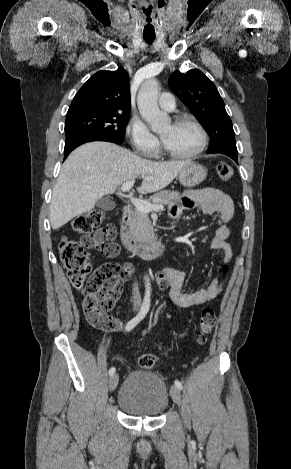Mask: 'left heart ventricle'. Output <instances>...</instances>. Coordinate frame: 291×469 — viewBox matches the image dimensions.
I'll list each match as a JSON object with an SVG mask.
<instances>
[{"label": "left heart ventricle", "instance_id": "obj_1", "mask_svg": "<svg viewBox=\"0 0 291 469\" xmlns=\"http://www.w3.org/2000/svg\"><path fill=\"white\" fill-rule=\"evenodd\" d=\"M166 147L179 154L190 153L199 144V134L189 123L167 124L160 132Z\"/></svg>", "mask_w": 291, "mask_h": 469}]
</instances>
